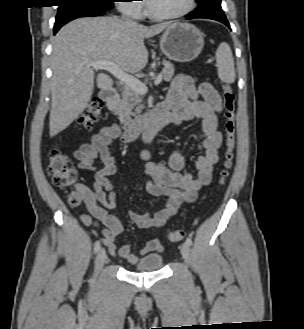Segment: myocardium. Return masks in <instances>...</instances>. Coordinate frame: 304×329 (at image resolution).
I'll list each match as a JSON object with an SVG mask.
<instances>
[{
	"instance_id": "f54148a6",
	"label": "myocardium",
	"mask_w": 304,
	"mask_h": 329,
	"mask_svg": "<svg viewBox=\"0 0 304 329\" xmlns=\"http://www.w3.org/2000/svg\"><path fill=\"white\" fill-rule=\"evenodd\" d=\"M195 6H196V0H188L187 6L179 12L171 13V14H158L152 11L147 0L145 3L147 16L158 21H170V20L180 19L191 13L194 10Z\"/></svg>"
}]
</instances>
